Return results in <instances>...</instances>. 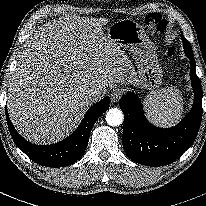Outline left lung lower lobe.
I'll return each instance as SVG.
<instances>
[{
    "label": "left lung lower lobe",
    "mask_w": 206,
    "mask_h": 206,
    "mask_svg": "<svg viewBox=\"0 0 206 206\" xmlns=\"http://www.w3.org/2000/svg\"><path fill=\"white\" fill-rule=\"evenodd\" d=\"M183 41L186 38L182 35ZM191 61V84L195 100L191 111L175 127L163 129L150 124L139 97L128 92L119 105L124 113L123 148L134 162L146 166H163L178 159L193 144L202 119V89L196 75L192 50L185 48Z\"/></svg>",
    "instance_id": "0a47b994"
}]
</instances>
